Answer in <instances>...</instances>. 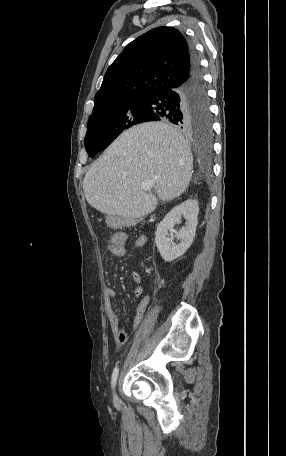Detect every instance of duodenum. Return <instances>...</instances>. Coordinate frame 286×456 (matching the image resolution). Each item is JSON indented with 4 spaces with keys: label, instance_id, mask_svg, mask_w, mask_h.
I'll use <instances>...</instances> for the list:
<instances>
[{
    "label": "duodenum",
    "instance_id": "duodenum-1",
    "mask_svg": "<svg viewBox=\"0 0 286 456\" xmlns=\"http://www.w3.org/2000/svg\"><path fill=\"white\" fill-rule=\"evenodd\" d=\"M120 220L122 221L123 224H126V223H129V222H132V221H133L132 218H129V219L121 218Z\"/></svg>",
    "mask_w": 286,
    "mask_h": 456
}]
</instances>
